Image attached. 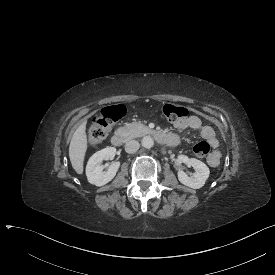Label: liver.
I'll list each match as a JSON object with an SVG mask.
<instances>
[{"instance_id": "obj_1", "label": "liver", "mask_w": 275, "mask_h": 275, "mask_svg": "<svg viewBox=\"0 0 275 275\" xmlns=\"http://www.w3.org/2000/svg\"><path fill=\"white\" fill-rule=\"evenodd\" d=\"M86 123L84 121L74 132L70 146L69 157L72 167L78 174L83 173V161L87 150Z\"/></svg>"}]
</instances>
